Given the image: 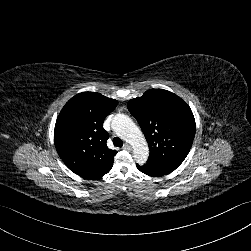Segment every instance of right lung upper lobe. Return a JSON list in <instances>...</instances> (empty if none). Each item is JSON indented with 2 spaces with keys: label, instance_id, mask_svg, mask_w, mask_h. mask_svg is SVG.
Masks as SVG:
<instances>
[{
  "label": "right lung upper lobe",
  "instance_id": "obj_1",
  "mask_svg": "<svg viewBox=\"0 0 251 251\" xmlns=\"http://www.w3.org/2000/svg\"><path fill=\"white\" fill-rule=\"evenodd\" d=\"M118 102L96 92L72 97L61 110L54 129V143L65 165L82 178L99 179L108 173L117 151L107 147L103 128L106 116Z\"/></svg>",
  "mask_w": 251,
  "mask_h": 251
}]
</instances>
